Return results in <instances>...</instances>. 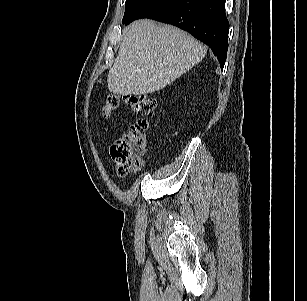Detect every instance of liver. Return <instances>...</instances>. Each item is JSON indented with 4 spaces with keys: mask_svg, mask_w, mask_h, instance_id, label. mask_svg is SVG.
Returning <instances> with one entry per match:
<instances>
[{
    "mask_svg": "<svg viewBox=\"0 0 307 301\" xmlns=\"http://www.w3.org/2000/svg\"><path fill=\"white\" fill-rule=\"evenodd\" d=\"M206 52V46L176 27L135 21L108 73V89L121 95L159 91L199 63Z\"/></svg>",
    "mask_w": 307,
    "mask_h": 301,
    "instance_id": "1",
    "label": "liver"
}]
</instances>
